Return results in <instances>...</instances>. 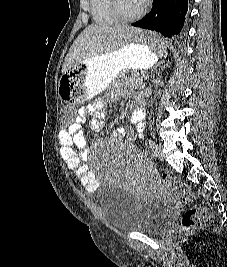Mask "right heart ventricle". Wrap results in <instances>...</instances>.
Instances as JSON below:
<instances>
[{
  "mask_svg": "<svg viewBox=\"0 0 227 267\" xmlns=\"http://www.w3.org/2000/svg\"><path fill=\"white\" fill-rule=\"evenodd\" d=\"M91 13L99 24H116L119 19L113 14L109 0H90Z\"/></svg>",
  "mask_w": 227,
  "mask_h": 267,
  "instance_id": "e07e8e85",
  "label": "right heart ventricle"
}]
</instances>
